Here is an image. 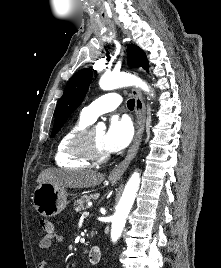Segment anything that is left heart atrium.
Returning a JSON list of instances; mask_svg holds the SVG:
<instances>
[{
    "mask_svg": "<svg viewBox=\"0 0 221 268\" xmlns=\"http://www.w3.org/2000/svg\"><path fill=\"white\" fill-rule=\"evenodd\" d=\"M133 137L132 124L127 118H112L104 134V148L107 152H118L129 145Z\"/></svg>",
    "mask_w": 221,
    "mask_h": 268,
    "instance_id": "left-heart-atrium-1",
    "label": "left heart atrium"
}]
</instances>
